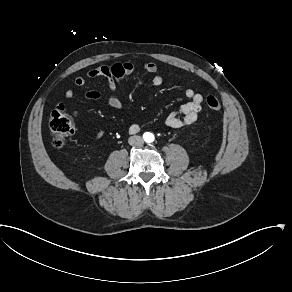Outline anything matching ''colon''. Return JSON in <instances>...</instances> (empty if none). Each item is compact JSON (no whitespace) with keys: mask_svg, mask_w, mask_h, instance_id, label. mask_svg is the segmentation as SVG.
I'll list each match as a JSON object with an SVG mask.
<instances>
[{"mask_svg":"<svg viewBox=\"0 0 292 292\" xmlns=\"http://www.w3.org/2000/svg\"><path fill=\"white\" fill-rule=\"evenodd\" d=\"M205 106L210 111L216 112L220 109V102L215 96H208ZM49 126L52 146L56 149L63 148L73 132L72 113L64 105L57 104L51 112Z\"/></svg>","mask_w":292,"mask_h":292,"instance_id":"colon-1","label":"colon"}]
</instances>
